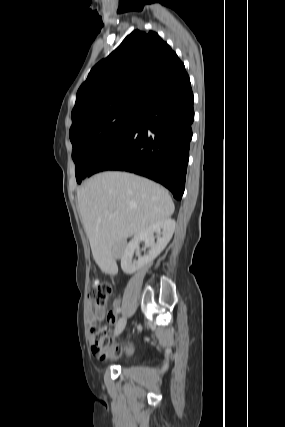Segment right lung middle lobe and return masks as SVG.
Instances as JSON below:
<instances>
[{
    "label": "right lung middle lobe",
    "instance_id": "obj_1",
    "mask_svg": "<svg viewBox=\"0 0 285 427\" xmlns=\"http://www.w3.org/2000/svg\"><path fill=\"white\" fill-rule=\"evenodd\" d=\"M141 111L142 105H130L84 124L69 134L78 183L122 141Z\"/></svg>",
    "mask_w": 285,
    "mask_h": 427
}]
</instances>
